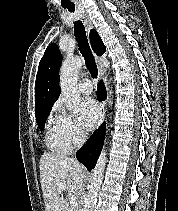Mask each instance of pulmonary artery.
<instances>
[{
    "label": "pulmonary artery",
    "instance_id": "1",
    "mask_svg": "<svg viewBox=\"0 0 178 211\" xmlns=\"http://www.w3.org/2000/svg\"><path fill=\"white\" fill-rule=\"evenodd\" d=\"M79 90L85 94L89 95L92 93V83L89 79H83L79 84Z\"/></svg>",
    "mask_w": 178,
    "mask_h": 211
}]
</instances>
